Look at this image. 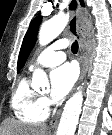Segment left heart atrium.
<instances>
[{
    "label": "left heart atrium",
    "mask_w": 112,
    "mask_h": 135,
    "mask_svg": "<svg viewBox=\"0 0 112 135\" xmlns=\"http://www.w3.org/2000/svg\"><path fill=\"white\" fill-rule=\"evenodd\" d=\"M77 76V69L73 64L66 63L55 68L51 73L52 98L63 99L74 86Z\"/></svg>",
    "instance_id": "39dd6f15"
}]
</instances>
